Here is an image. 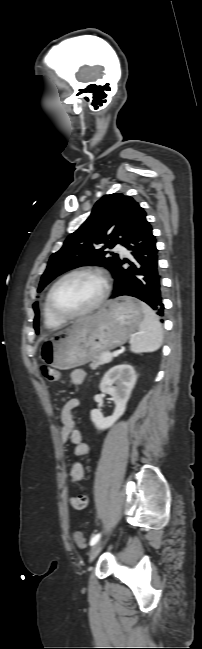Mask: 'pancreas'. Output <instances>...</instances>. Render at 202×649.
Segmentation results:
<instances>
[{
  "mask_svg": "<svg viewBox=\"0 0 202 649\" xmlns=\"http://www.w3.org/2000/svg\"><path fill=\"white\" fill-rule=\"evenodd\" d=\"M101 355H102V352L99 353L98 356H96V358H95V359L93 360V362L90 364V368H91V369L95 370V369L98 368L100 365H103V364H104V363L102 362Z\"/></svg>",
  "mask_w": 202,
  "mask_h": 649,
  "instance_id": "pancreas-1",
  "label": "pancreas"
}]
</instances>
